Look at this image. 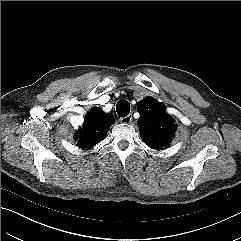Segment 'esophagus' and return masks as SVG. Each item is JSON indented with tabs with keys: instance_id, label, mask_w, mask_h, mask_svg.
I'll use <instances>...</instances> for the list:
<instances>
[{
	"instance_id": "obj_1",
	"label": "esophagus",
	"mask_w": 241,
	"mask_h": 241,
	"mask_svg": "<svg viewBox=\"0 0 241 241\" xmlns=\"http://www.w3.org/2000/svg\"><path fill=\"white\" fill-rule=\"evenodd\" d=\"M120 121L124 124H129L132 121V115H127L125 117L120 118Z\"/></svg>"
}]
</instances>
